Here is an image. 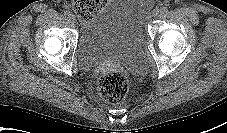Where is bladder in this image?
<instances>
[{"mask_svg": "<svg viewBox=\"0 0 227 133\" xmlns=\"http://www.w3.org/2000/svg\"><path fill=\"white\" fill-rule=\"evenodd\" d=\"M151 5L152 0H109L82 27L76 48L80 67L112 62L140 71L144 24Z\"/></svg>", "mask_w": 227, "mask_h": 133, "instance_id": "31cf9c89", "label": "bladder"}]
</instances>
